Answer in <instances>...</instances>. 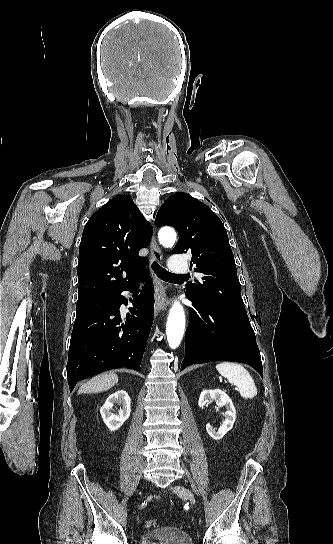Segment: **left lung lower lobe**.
Listing matches in <instances>:
<instances>
[{
    "mask_svg": "<svg viewBox=\"0 0 333 544\" xmlns=\"http://www.w3.org/2000/svg\"><path fill=\"white\" fill-rule=\"evenodd\" d=\"M185 333L181 370L195 363L234 361L250 365L263 377L260 351L250 324L216 311L193 299Z\"/></svg>",
    "mask_w": 333,
    "mask_h": 544,
    "instance_id": "1",
    "label": "left lung lower lobe"
}]
</instances>
